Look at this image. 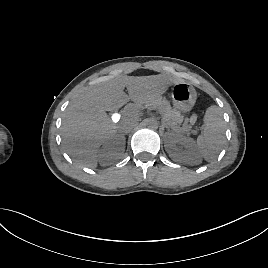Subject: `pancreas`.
Segmentation results:
<instances>
[{"label":"pancreas","mask_w":268,"mask_h":268,"mask_svg":"<svg viewBox=\"0 0 268 268\" xmlns=\"http://www.w3.org/2000/svg\"><path fill=\"white\" fill-rule=\"evenodd\" d=\"M147 104L152 105L162 114V121L167 127L183 134H187L189 131H191L194 121H191L190 124H184L182 127H180L179 125L183 122L184 117L181 112L172 109L170 103L167 100L157 98L151 100Z\"/></svg>","instance_id":"pancreas-1"}]
</instances>
